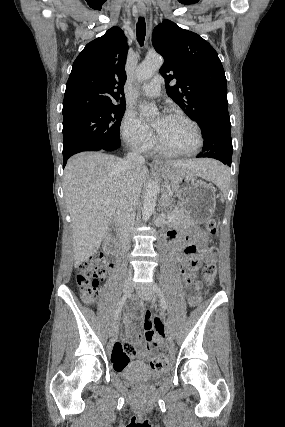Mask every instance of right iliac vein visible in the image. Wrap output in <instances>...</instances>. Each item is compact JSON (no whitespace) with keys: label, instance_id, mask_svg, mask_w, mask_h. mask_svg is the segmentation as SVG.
Masks as SVG:
<instances>
[{"label":"right iliac vein","instance_id":"63e3f726","mask_svg":"<svg viewBox=\"0 0 285 427\" xmlns=\"http://www.w3.org/2000/svg\"><path fill=\"white\" fill-rule=\"evenodd\" d=\"M131 291H132L131 281L130 280H126L125 283H124V293L125 294H129V293H131ZM117 332H118V326H117L116 321H114L111 324V326H110L109 334H110L111 337L114 338V337H116Z\"/></svg>","mask_w":285,"mask_h":427}]
</instances>
